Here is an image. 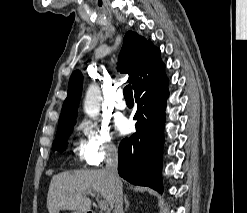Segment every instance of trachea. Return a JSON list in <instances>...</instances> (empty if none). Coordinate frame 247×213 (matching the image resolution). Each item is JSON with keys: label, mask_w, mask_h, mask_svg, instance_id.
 Returning a JSON list of instances; mask_svg holds the SVG:
<instances>
[{"label": "trachea", "mask_w": 247, "mask_h": 213, "mask_svg": "<svg viewBox=\"0 0 247 213\" xmlns=\"http://www.w3.org/2000/svg\"><path fill=\"white\" fill-rule=\"evenodd\" d=\"M123 93H124L125 99H133V93H132L131 85L125 86Z\"/></svg>", "instance_id": "3493384b"}]
</instances>
